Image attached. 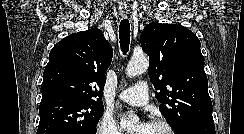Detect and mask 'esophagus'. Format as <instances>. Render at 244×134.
Listing matches in <instances>:
<instances>
[{
  "label": "esophagus",
  "mask_w": 244,
  "mask_h": 134,
  "mask_svg": "<svg viewBox=\"0 0 244 134\" xmlns=\"http://www.w3.org/2000/svg\"><path fill=\"white\" fill-rule=\"evenodd\" d=\"M121 16H122L123 18H126V17H127V13L122 12V13H121Z\"/></svg>",
  "instance_id": "1"
}]
</instances>
